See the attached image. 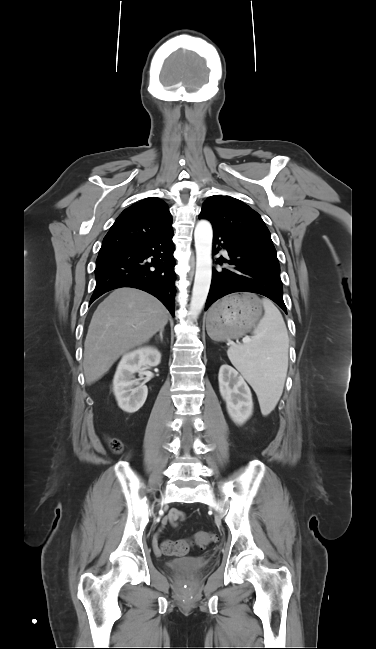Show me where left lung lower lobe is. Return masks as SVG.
Listing matches in <instances>:
<instances>
[{"mask_svg": "<svg viewBox=\"0 0 376 649\" xmlns=\"http://www.w3.org/2000/svg\"><path fill=\"white\" fill-rule=\"evenodd\" d=\"M216 245L226 249L229 255V259L220 257L216 263H226L229 268L213 269L205 310L225 295L252 292L268 297L287 313L282 296L280 265L275 256L213 228V254L221 249L218 247L216 250Z\"/></svg>", "mask_w": 376, "mask_h": 649, "instance_id": "obj_1", "label": "left lung lower lobe"}]
</instances>
